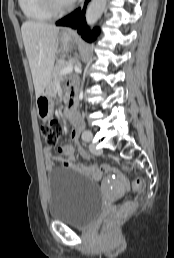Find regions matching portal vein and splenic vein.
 Wrapping results in <instances>:
<instances>
[{"mask_svg":"<svg viewBox=\"0 0 174 258\" xmlns=\"http://www.w3.org/2000/svg\"><path fill=\"white\" fill-rule=\"evenodd\" d=\"M73 71V66L70 64V65H67L66 67H64L60 73L61 74H68V73H71Z\"/></svg>","mask_w":174,"mask_h":258,"instance_id":"18ae733b","label":"portal vein and splenic vein"}]
</instances>
